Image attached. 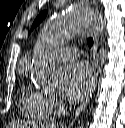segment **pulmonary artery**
<instances>
[{"instance_id":"e3ab8cb5","label":"pulmonary artery","mask_w":125,"mask_h":128,"mask_svg":"<svg viewBox=\"0 0 125 128\" xmlns=\"http://www.w3.org/2000/svg\"><path fill=\"white\" fill-rule=\"evenodd\" d=\"M78 55L77 48L57 46L53 52V56L60 60H72Z\"/></svg>"}]
</instances>
